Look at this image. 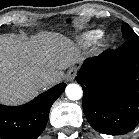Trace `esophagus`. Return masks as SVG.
I'll use <instances>...</instances> for the list:
<instances>
[{"label": "esophagus", "instance_id": "esophagus-1", "mask_svg": "<svg viewBox=\"0 0 139 139\" xmlns=\"http://www.w3.org/2000/svg\"><path fill=\"white\" fill-rule=\"evenodd\" d=\"M77 75V68L71 67L66 73L67 81H73Z\"/></svg>", "mask_w": 139, "mask_h": 139}]
</instances>
